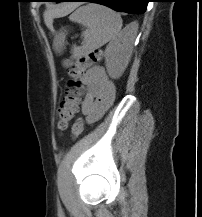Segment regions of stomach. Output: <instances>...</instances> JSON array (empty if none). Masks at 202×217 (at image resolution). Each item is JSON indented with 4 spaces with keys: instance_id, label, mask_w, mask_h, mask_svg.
<instances>
[{
    "instance_id": "0dacf381",
    "label": "stomach",
    "mask_w": 202,
    "mask_h": 217,
    "mask_svg": "<svg viewBox=\"0 0 202 217\" xmlns=\"http://www.w3.org/2000/svg\"><path fill=\"white\" fill-rule=\"evenodd\" d=\"M63 40H64V35H62L58 38V42L56 45V51L58 53H60L63 50Z\"/></svg>"
}]
</instances>
